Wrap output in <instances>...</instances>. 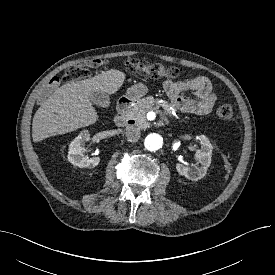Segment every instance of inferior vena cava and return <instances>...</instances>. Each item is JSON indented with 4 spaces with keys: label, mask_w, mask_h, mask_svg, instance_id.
Segmentation results:
<instances>
[{
    "label": "inferior vena cava",
    "mask_w": 275,
    "mask_h": 275,
    "mask_svg": "<svg viewBox=\"0 0 275 275\" xmlns=\"http://www.w3.org/2000/svg\"><path fill=\"white\" fill-rule=\"evenodd\" d=\"M125 134L129 141H136L140 136V128L137 126H127L125 129Z\"/></svg>",
    "instance_id": "obj_1"
}]
</instances>
